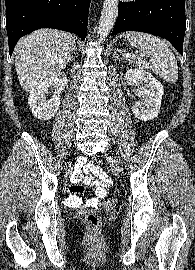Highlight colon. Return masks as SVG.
I'll return each mask as SVG.
<instances>
[{
	"label": "colon",
	"instance_id": "5ec220e1",
	"mask_svg": "<svg viewBox=\"0 0 195 270\" xmlns=\"http://www.w3.org/2000/svg\"><path fill=\"white\" fill-rule=\"evenodd\" d=\"M116 203L115 199H109L107 201L108 206H113ZM86 225L92 233H96L100 227V218L95 213H89L86 216Z\"/></svg>",
	"mask_w": 195,
	"mask_h": 270
}]
</instances>
